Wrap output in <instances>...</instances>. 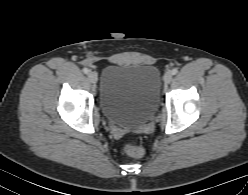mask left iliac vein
<instances>
[{
  "mask_svg": "<svg viewBox=\"0 0 248 195\" xmlns=\"http://www.w3.org/2000/svg\"><path fill=\"white\" fill-rule=\"evenodd\" d=\"M171 81H172V73H171V72H167V73L164 75V82H165L166 84H169Z\"/></svg>",
  "mask_w": 248,
  "mask_h": 195,
  "instance_id": "4c4485c4",
  "label": "left iliac vein"
}]
</instances>
